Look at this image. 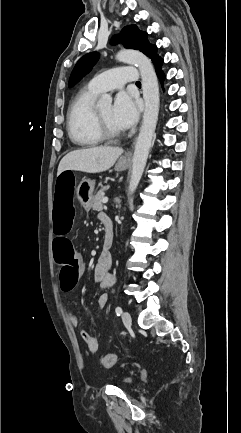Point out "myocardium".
Masks as SVG:
<instances>
[{
    "label": "myocardium",
    "instance_id": "1",
    "mask_svg": "<svg viewBox=\"0 0 241 433\" xmlns=\"http://www.w3.org/2000/svg\"><path fill=\"white\" fill-rule=\"evenodd\" d=\"M94 120L96 129L103 140H113L121 136L120 131H112L108 128L96 108L94 109Z\"/></svg>",
    "mask_w": 241,
    "mask_h": 433
}]
</instances>
